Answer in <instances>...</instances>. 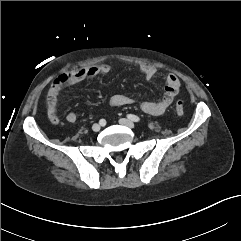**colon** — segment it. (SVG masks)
<instances>
[{
  "mask_svg": "<svg viewBox=\"0 0 241 241\" xmlns=\"http://www.w3.org/2000/svg\"><path fill=\"white\" fill-rule=\"evenodd\" d=\"M75 80V75L72 72H63L59 77L53 80V85L56 88L66 87L69 83ZM175 111L178 115L184 113V105L182 102H177L175 105Z\"/></svg>",
  "mask_w": 241,
  "mask_h": 241,
  "instance_id": "5ec220e1",
  "label": "colon"
}]
</instances>
